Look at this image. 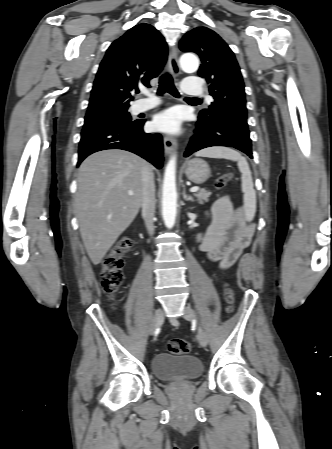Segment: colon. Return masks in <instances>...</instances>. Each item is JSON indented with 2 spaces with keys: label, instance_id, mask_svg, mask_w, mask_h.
<instances>
[{
  "label": "colon",
  "instance_id": "5ec220e1",
  "mask_svg": "<svg viewBox=\"0 0 332 449\" xmlns=\"http://www.w3.org/2000/svg\"><path fill=\"white\" fill-rule=\"evenodd\" d=\"M233 178L234 177L231 173L220 176L215 181L216 188H225ZM131 246V239L129 237H123L117 241V243L103 259L100 282L104 291L111 296L116 295L123 284L124 277L122 274V257L130 250ZM224 292L227 311L231 312L235 303L234 292L228 284H225ZM168 348L172 354L181 355L189 352L190 345L184 339L175 338L168 342Z\"/></svg>",
  "mask_w": 332,
  "mask_h": 449
}]
</instances>
